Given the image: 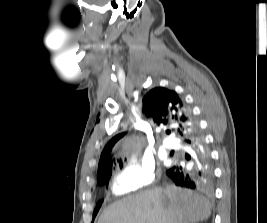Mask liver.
<instances>
[{
    "label": "liver",
    "instance_id": "liver-1",
    "mask_svg": "<svg viewBox=\"0 0 267 223\" xmlns=\"http://www.w3.org/2000/svg\"><path fill=\"white\" fill-rule=\"evenodd\" d=\"M211 215L208 199L176 186L155 188L111 204L98 223H197Z\"/></svg>",
    "mask_w": 267,
    "mask_h": 223
}]
</instances>
